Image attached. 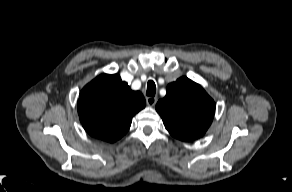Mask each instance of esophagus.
Masks as SVG:
<instances>
[{
	"label": "esophagus",
	"instance_id": "34e87169",
	"mask_svg": "<svg viewBox=\"0 0 292 192\" xmlns=\"http://www.w3.org/2000/svg\"><path fill=\"white\" fill-rule=\"evenodd\" d=\"M146 103L149 106H155V104L157 103V98L156 97H147L146 98Z\"/></svg>",
	"mask_w": 292,
	"mask_h": 192
}]
</instances>
